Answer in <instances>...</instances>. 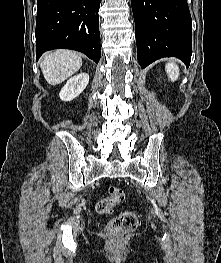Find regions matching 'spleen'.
<instances>
[{
    "instance_id": "1",
    "label": "spleen",
    "mask_w": 221,
    "mask_h": 263,
    "mask_svg": "<svg viewBox=\"0 0 221 263\" xmlns=\"http://www.w3.org/2000/svg\"><path fill=\"white\" fill-rule=\"evenodd\" d=\"M165 70L168 75V78L174 82L178 79L179 77V67L177 66L175 60H170L166 65H165Z\"/></svg>"
}]
</instances>
